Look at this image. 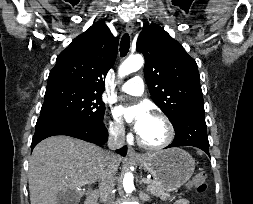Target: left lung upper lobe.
I'll return each instance as SVG.
<instances>
[{"label":"left lung upper lobe","instance_id":"1","mask_svg":"<svg viewBox=\"0 0 253 204\" xmlns=\"http://www.w3.org/2000/svg\"><path fill=\"white\" fill-rule=\"evenodd\" d=\"M136 50L145 57L144 75L151 97L173 126L188 113L204 110L195 60L162 27L145 24Z\"/></svg>","mask_w":253,"mask_h":204}]
</instances>
